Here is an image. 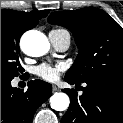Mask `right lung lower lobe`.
Segmentation results:
<instances>
[{"instance_id": "obj_1", "label": "right lung lower lobe", "mask_w": 123, "mask_h": 123, "mask_svg": "<svg viewBox=\"0 0 123 123\" xmlns=\"http://www.w3.org/2000/svg\"><path fill=\"white\" fill-rule=\"evenodd\" d=\"M51 84L28 82L27 91L13 88L11 80L1 81V123H32L37 108L51 95Z\"/></svg>"}]
</instances>
